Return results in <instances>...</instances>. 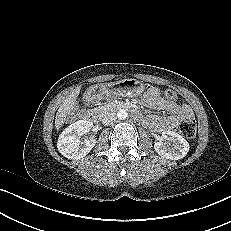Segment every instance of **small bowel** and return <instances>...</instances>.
<instances>
[{"label":"small bowel","instance_id":"c3829d8e","mask_svg":"<svg viewBox=\"0 0 231 231\" xmlns=\"http://www.w3.org/2000/svg\"><path fill=\"white\" fill-rule=\"evenodd\" d=\"M142 103L151 109L170 112L168 116L150 115L143 119L144 124L154 132L170 131L184 120H193V112L188 105L163 98L158 88H150L142 97Z\"/></svg>","mask_w":231,"mask_h":231}]
</instances>
